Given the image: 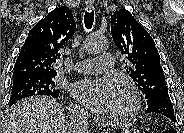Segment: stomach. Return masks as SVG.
<instances>
[{
    "label": "stomach",
    "instance_id": "obj_1",
    "mask_svg": "<svg viewBox=\"0 0 184 133\" xmlns=\"http://www.w3.org/2000/svg\"><path fill=\"white\" fill-rule=\"evenodd\" d=\"M130 133H138L137 131H133V132H130Z\"/></svg>",
    "mask_w": 184,
    "mask_h": 133
}]
</instances>
